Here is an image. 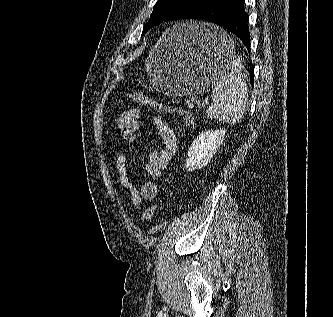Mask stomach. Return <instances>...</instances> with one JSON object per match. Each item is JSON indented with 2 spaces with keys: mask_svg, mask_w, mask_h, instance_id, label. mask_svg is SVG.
Masks as SVG:
<instances>
[{
  "mask_svg": "<svg viewBox=\"0 0 333 317\" xmlns=\"http://www.w3.org/2000/svg\"><path fill=\"white\" fill-rule=\"evenodd\" d=\"M219 24L187 22L167 29L145 59L151 84L161 95H207L226 69L243 62L235 41Z\"/></svg>",
  "mask_w": 333,
  "mask_h": 317,
  "instance_id": "obj_1",
  "label": "stomach"
}]
</instances>
